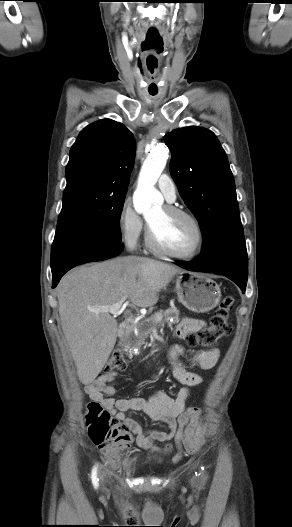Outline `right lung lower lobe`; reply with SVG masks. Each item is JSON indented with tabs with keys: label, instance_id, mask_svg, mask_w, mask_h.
I'll use <instances>...</instances> for the list:
<instances>
[{
	"label": "right lung lower lobe",
	"instance_id": "98d812e1",
	"mask_svg": "<svg viewBox=\"0 0 292 527\" xmlns=\"http://www.w3.org/2000/svg\"><path fill=\"white\" fill-rule=\"evenodd\" d=\"M123 249L119 240L100 232L78 228L57 229L51 249L53 288L71 268L115 257Z\"/></svg>",
	"mask_w": 292,
	"mask_h": 527
}]
</instances>
